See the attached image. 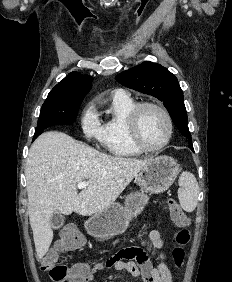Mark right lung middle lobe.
<instances>
[{
	"mask_svg": "<svg viewBox=\"0 0 232 282\" xmlns=\"http://www.w3.org/2000/svg\"><path fill=\"white\" fill-rule=\"evenodd\" d=\"M83 98L46 99L41 107L34 139L43 133L44 129L50 126L56 124H72L77 116V111Z\"/></svg>",
	"mask_w": 232,
	"mask_h": 282,
	"instance_id": "obj_1",
	"label": "right lung middle lobe"
}]
</instances>
